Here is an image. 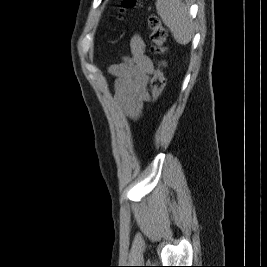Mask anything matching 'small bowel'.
<instances>
[{
	"instance_id": "small-bowel-1",
	"label": "small bowel",
	"mask_w": 267,
	"mask_h": 267,
	"mask_svg": "<svg viewBox=\"0 0 267 267\" xmlns=\"http://www.w3.org/2000/svg\"><path fill=\"white\" fill-rule=\"evenodd\" d=\"M130 50V57L110 65L108 71L116 78L114 92L117 105L129 118L136 120L144 103L150 99L147 81L154 67L145 54V43L139 35L131 38Z\"/></svg>"
}]
</instances>
